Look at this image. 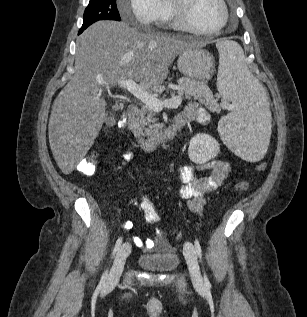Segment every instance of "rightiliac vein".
I'll return each instance as SVG.
<instances>
[{"label":"right iliac vein","mask_w":307,"mask_h":317,"mask_svg":"<svg viewBox=\"0 0 307 317\" xmlns=\"http://www.w3.org/2000/svg\"><path fill=\"white\" fill-rule=\"evenodd\" d=\"M131 251V246L128 243H124L118 250L114 264L106 280L108 286H114L118 281L123 272L124 265L127 257Z\"/></svg>","instance_id":"63e3f726"}]
</instances>
